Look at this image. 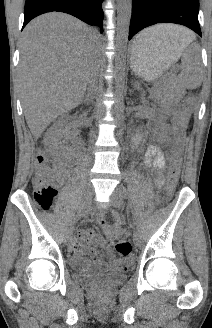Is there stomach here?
<instances>
[{"mask_svg":"<svg viewBox=\"0 0 212 328\" xmlns=\"http://www.w3.org/2000/svg\"><path fill=\"white\" fill-rule=\"evenodd\" d=\"M185 46L173 41L154 40L145 48L131 49V66L133 71L146 81H155L181 55Z\"/></svg>","mask_w":212,"mask_h":328,"instance_id":"obj_1","label":"stomach"}]
</instances>
